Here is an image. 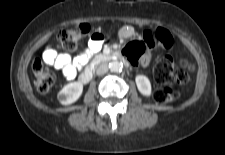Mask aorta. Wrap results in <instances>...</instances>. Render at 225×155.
I'll list each match as a JSON object with an SVG mask.
<instances>
[{
	"mask_svg": "<svg viewBox=\"0 0 225 155\" xmlns=\"http://www.w3.org/2000/svg\"><path fill=\"white\" fill-rule=\"evenodd\" d=\"M123 68V64L119 61H111L109 63V69L111 72H121Z\"/></svg>",
	"mask_w": 225,
	"mask_h": 155,
	"instance_id": "762f6f07",
	"label": "aorta"
}]
</instances>
